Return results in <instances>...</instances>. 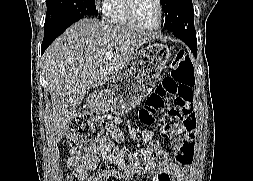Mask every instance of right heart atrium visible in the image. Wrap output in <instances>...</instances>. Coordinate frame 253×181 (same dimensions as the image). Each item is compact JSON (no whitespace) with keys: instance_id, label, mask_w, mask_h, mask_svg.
<instances>
[{"instance_id":"1","label":"right heart atrium","mask_w":253,"mask_h":181,"mask_svg":"<svg viewBox=\"0 0 253 181\" xmlns=\"http://www.w3.org/2000/svg\"><path fill=\"white\" fill-rule=\"evenodd\" d=\"M106 0H95L96 6L100 9H103V5Z\"/></svg>"}]
</instances>
